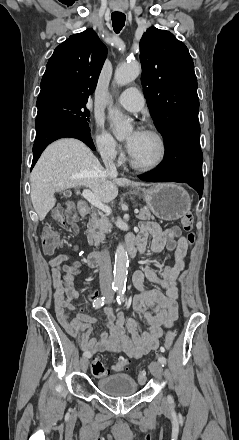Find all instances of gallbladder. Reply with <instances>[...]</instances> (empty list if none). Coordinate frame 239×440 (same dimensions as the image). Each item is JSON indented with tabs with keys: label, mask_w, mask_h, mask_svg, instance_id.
Listing matches in <instances>:
<instances>
[{
	"label": "gallbladder",
	"mask_w": 239,
	"mask_h": 440,
	"mask_svg": "<svg viewBox=\"0 0 239 440\" xmlns=\"http://www.w3.org/2000/svg\"><path fill=\"white\" fill-rule=\"evenodd\" d=\"M63 194H64V196H66L67 198H70V197H71V194H72V191H71V190H68V189H65L64 192H63Z\"/></svg>",
	"instance_id": "obj_1"
}]
</instances>
